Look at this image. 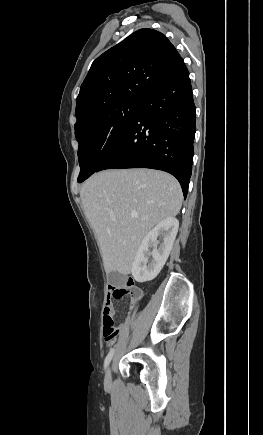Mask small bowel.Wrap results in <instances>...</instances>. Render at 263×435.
<instances>
[{
    "label": "small bowel",
    "mask_w": 263,
    "mask_h": 435,
    "mask_svg": "<svg viewBox=\"0 0 263 435\" xmlns=\"http://www.w3.org/2000/svg\"><path fill=\"white\" fill-rule=\"evenodd\" d=\"M108 311L113 312V303H112V298L110 296L107 298L104 305V313Z\"/></svg>",
    "instance_id": "obj_1"
}]
</instances>
